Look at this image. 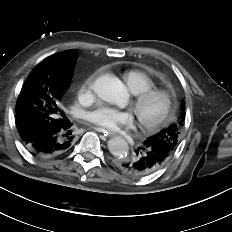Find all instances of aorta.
I'll return each mask as SVG.
<instances>
[{
    "instance_id": "762f6f07",
    "label": "aorta",
    "mask_w": 232,
    "mask_h": 232,
    "mask_svg": "<svg viewBox=\"0 0 232 232\" xmlns=\"http://www.w3.org/2000/svg\"><path fill=\"white\" fill-rule=\"evenodd\" d=\"M95 91L102 100L119 107H124L129 98L123 83L113 75H103L97 78ZM108 149L112 155L122 158L127 156L129 146L124 138L117 136L108 141Z\"/></svg>"
}]
</instances>
